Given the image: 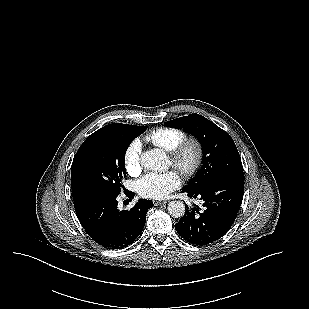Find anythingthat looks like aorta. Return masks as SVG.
Instances as JSON below:
<instances>
[{
  "label": "aorta",
  "instance_id": "aorta-1",
  "mask_svg": "<svg viewBox=\"0 0 309 309\" xmlns=\"http://www.w3.org/2000/svg\"><path fill=\"white\" fill-rule=\"evenodd\" d=\"M166 162V155L160 149H152L141 155V164L152 170L162 169ZM168 213L173 218H180L185 214V205L181 201H171L168 204Z\"/></svg>",
  "mask_w": 309,
  "mask_h": 309
}]
</instances>
